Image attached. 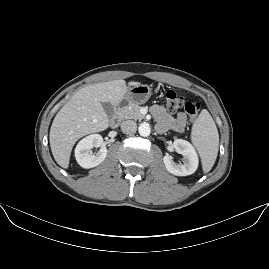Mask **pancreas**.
<instances>
[{
    "label": "pancreas",
    "instance_id": "cf45deb5",
    "mask_svg": "<svg viewBox=\"0 0 269 269\" xmlns=\"http://www.w3.org/2000/svg\"><path fill=\"white\" fill-rule=\"evenodd\" d=\"M140 106L136 104H132L128 108H122L119 110L117 115L120 119H135V120H142L145 116L140 113Z\"/></svg>",
    "mask_w": 269,
    "mask_h": 269
}]
</instances>
